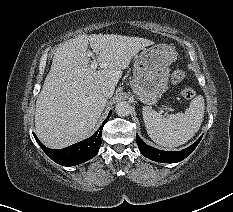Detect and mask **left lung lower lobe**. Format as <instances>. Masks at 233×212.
I'll return each instance as SVG.
<instances>
[{"label":"left lung lower lobe","mask_w":233,"mask_h":212,"mask_svg":"<svg viewBox=\"0 0 233 212\" xmlns=\"http://www.w3.org/2000/svg\"><path fill=\"white\" fill-rule=\"evenodd\" d=\"M202 136L190 147L182 150V151H161L157 150L147 144H145L142 139L137 135L136 142L141 153L154 161L162 162V163H175L185 159L199 144Z\"/></svg>","instance_id":"left-lung-lower-lobe-1"}]
</instances>
